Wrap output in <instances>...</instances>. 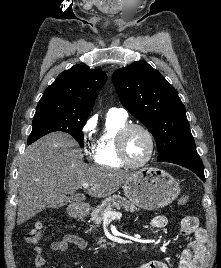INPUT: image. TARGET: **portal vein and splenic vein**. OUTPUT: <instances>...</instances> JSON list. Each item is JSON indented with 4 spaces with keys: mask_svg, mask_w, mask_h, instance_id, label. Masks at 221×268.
I'll list each match as a JSON object with an SVG mask.
<instances>
[{
    "mask_svg": "<svg viewBox=\"0 0 221 268\" xmlns=\"http://www.w3.org/2000/svg\"><path fill=\"white\" fill-rule=\"evenodd\" d=\"M83 188H88L90 185L88 183H83L82 184ZM122 216L121 212H116V211H106L104 214V219H116L120 218Z\"/></svg>",
    "mask_w": 221,
    "mask_h": 268,
    "instance_id": "18ae733b",
    "label": "portal vein and splenic vein"
}]
</instances>
